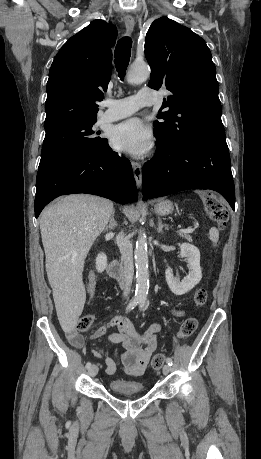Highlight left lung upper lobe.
I'll return each mask as SVG.
<instances>
[{
	"label": "left lung upper lobe",
	"instance_id": "obj_1",
	"mask_svg": "<svg viewBox=\"0 0 261 459\" xmlns=\"http://www.w3.org/2000/svg\"><path fill=\"white\" fill-rule=\"evenodd\" d=\"M145 56L151 67L148 86L171 93L154 122L155 136L173 146L209 135H225L221 121L216 68L205 41L187 27L162 17L145 38Z\"/></svg>",
	"mask_w": 261,
	"mask_h": 459
}]
</instances>
